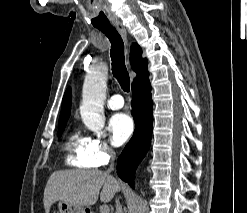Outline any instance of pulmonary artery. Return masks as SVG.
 <instances>
[{"label":"pulmonary artery","instance_id":"1","mask_svg":"<svg viewBox=\"0 0 247 213\" xmlns=\"http://www.w3.org/2000/svg\"><path fill=\"white\" fill-rule=\"evenodd\" d=\"M124 106V99L121 95H114L107 101V107L112 110L121 109Z\"/></svg>","mask_w":247,"mask_h":213}]
</instances>
